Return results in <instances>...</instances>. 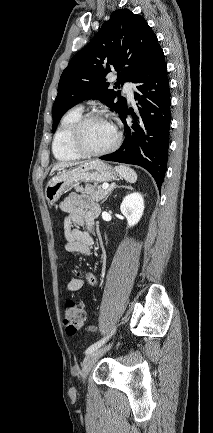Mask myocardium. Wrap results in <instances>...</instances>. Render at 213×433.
Wrapping results in <instances>:
<instances>
[{"mask_svg":"<svg viewBox=\"0 0 213 433\" xmlns=\"http://www.w3.org/2000/svg\"><path fill=\"white\" fill-rule=\"evenodd\" d=\"M92 120H104L109 122L116 132V139L114 143L105 150L102 151H91L88 150L83 143V131L86 124ZM122 142V132L119 127L110 120L106 115L100 112H88L83 114L76 122L71 133V144L73 149L84 157H100L110 154L117 150Z\"/></svg>","mask_w":213,"mask_h":433,"instance_id":"obj_1","label":"myocardium"}]
</instances>
